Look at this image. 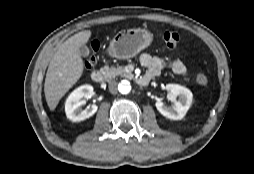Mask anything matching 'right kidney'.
<instances>
[{
    "instance_id": "right-kidney-1",
    "label": "right kidney",
    "mask_w": 254,
    "mask_h": 174,
    "mask_svg": "<svg viewBox=\"0 0 254 174\" xmlns=\"http://www.w3.org/2000/svg\"><path fill=\"white\" fill-rule=\"evenodd\" d=\"M93 87L91 85H82L76 88L67 98L65 103V112L69 120L79 122L93 116L98 107L93 104L83 110L81 107L86 104L83 100L85 97L91 96Z\"/></svg>"
}]
</instances>
